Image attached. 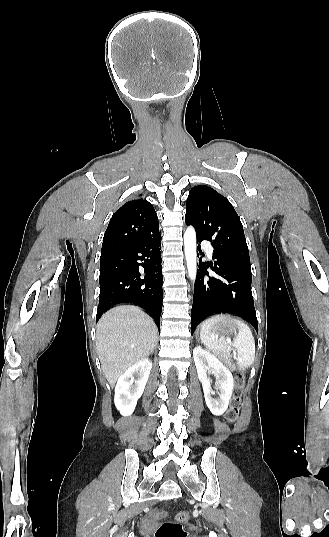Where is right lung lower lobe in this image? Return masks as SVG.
I'll use <instances>...</instances> for the list:
<instances>
[{
  "instance_id": "1",
  "label": "right lung lower lobe",
  "mask_w": 329,
  "mask_h": 537,
  "mask_svg": "<svg viewBox=\"0 0 329 537\" xmlns=\"http://www.w3.org/2000/svg\"><path fill=\"white\" fill-rule=\"evenodd\" d=\"M158 231L131 247L101 253L100 295L96 319L118 303H134L145 309L160 328L162 266Z\"/></svg>"
}]
</instances>
